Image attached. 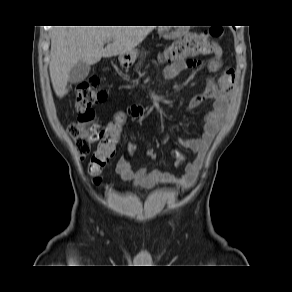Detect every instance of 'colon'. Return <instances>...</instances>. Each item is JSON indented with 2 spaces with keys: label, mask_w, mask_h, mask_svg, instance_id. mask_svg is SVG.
Returning <instances> with one entry per match:
<instances>
[{
  "label": "colon",
  "mask_w": 292,
  "mask_h": 292,
  "mask_svg": "<svg viewBox=\"0 0 292 292\" xmlns=\"http://www.w3.org/2000/svg\"><path fill=\"white\" fill-rule=\"evenodd\" d=\"M222 35V29L211 27L209 30L194 33L173 43L162 54L166 62H179L196 55H206L215 48V38ZM75 108L78 113L76 121L68 127V133L74 140L77 152L81 157L89 154L93 143L97 149L92 153L88 170L96 184L101 183L100 174L104 166L114 156L120 137L124 116L119 114L107 126L101 127L96 122L93 106L107 98V92L100 87L99 78L82 82L76 87ZM159 152L155 148L147 150V157L155 161Z\"/></svg>",
  "instance_id": "1"
}]
</instances>
